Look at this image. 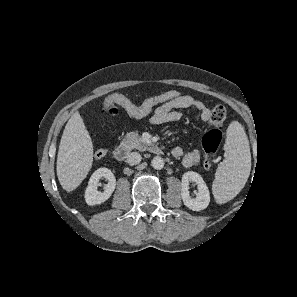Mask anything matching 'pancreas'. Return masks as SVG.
<instances>
[{
  "instance_id": "pancreas-1",
  "label": "pancreas",
  "mask_w": 297,
  "mask_h": 297,
  "mask_svg": "<svg viewBox=\"0 0 297 297\" xmlns=\"http://www.w3.org/2000/svg\"><path fill=\"white\" fill-rule=\"evenodd\" d=\"M121 146L128 151L134 148L140 151H144L148 148L147 143L144 142L139 134L135 132L127 133L121 142Z\"/></svg>"
}]
</instances>
